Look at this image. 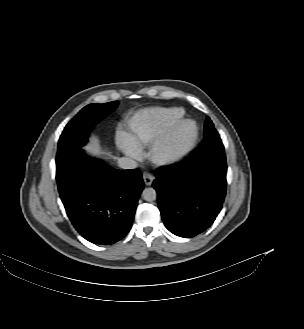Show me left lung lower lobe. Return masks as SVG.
Returning <instances> with one entry per match:
<instances>
[{"instance_id":"obj_1","label":"left lung lower lobe","mask_w":304,"mask_h":329,"mask_svg":"<svg viewBox=\"0 0 304 329\" xmlns=\"http://www.w3.org/2000/svg\"><path fill=\"white\" fill-rule=\"evenodd\" d=\"M224 146L213 130L178 167L158 172L153 187L166 228L193 237L212 225L226 195Z\"/></svg>"}]
</instances>
